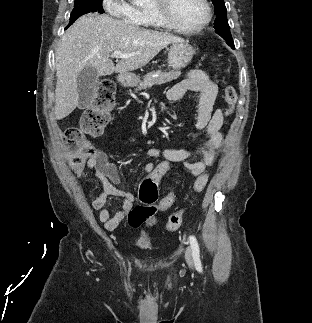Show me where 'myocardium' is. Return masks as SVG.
Here are the masks:
<instances>
[{"label": "myocardium", "mask_w": 312, "mask_h": 323, "mask_svg": "<svg viewBox=\"0 0 312 323\" xmlns=\"http://www.w3.org/2000/svg\"><path fill=\"white\" fill-rule=\"evenodd\" d=\"M157 8L161 10L160 17L164 23L169 24V31H205L208 21L213 17V5L209 0H197L200 4V11L203 13L202 18L199 20H174L170 14L169 0H158Z\"/></svg>", "instance_id": "myocardium-1"}]
</instances>
